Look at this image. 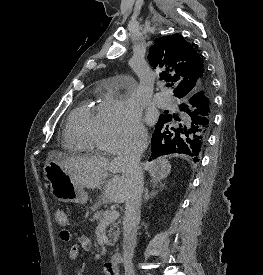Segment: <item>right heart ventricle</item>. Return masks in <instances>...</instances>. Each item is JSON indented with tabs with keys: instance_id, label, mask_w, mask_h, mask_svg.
Returning a JSON list of instances; mask_svg holds the SVG:
<instances>
[{
	"instance_id": "right-heart-ventricle-1",
	"label": "right heart ventricle",
	"mask_w": 263,
	"mask_h": 275,
	"mask_svg": "<svg viewBox=\"0 0 263 275\" xmlns=\"http://www.w3.org/2000/svg\"><path fill=\"white\" fill-rule=\"evenodd\" d=\"M102 104L92 107L85 102L69 115L64 132L65 148L89 152L100 148Z\"/></svg>"
}]
</instances>
